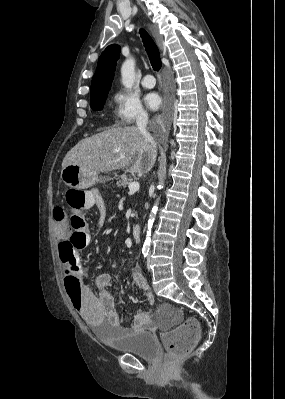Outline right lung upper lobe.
<instances>
[{
    "instance_id": "1",
    "label": "right lung upper lobe",
    "mask_w": 285,
    "mask_h": 399,
    "mask_svg": "<svg viewBox=\"0 0 285 399\" xmlns=\"http://www.w3.org/2000/svg\"><path fill=\"white\" fill-rule=\"evenodd\" d=\"M120 50L119 45L112 44L99 57L97 70L91 83V98L110 90Z\"/></svg>"
}]
</instances>
